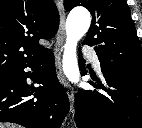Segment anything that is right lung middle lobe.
I'll list each match as a JSON object with an SVG mask.
<instances>
[{
	"label": "right lung middle lobe",
	"instance_id": "obj_1",
	"mask_svg": "<svg viewBox=\"0 0 142 128\" xmlns=\"http://www.w3.org/2000/svg\"><path fill=\"white\" fill-rule=\"evenodd\" d=\"M8 78V77H7ZM7 78H4V79H0V82H3L4 80H6Z\"/></svg>",
	"mask_w": 142,
	"mask_h": 128
}]
</instances>
